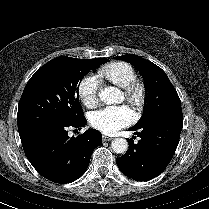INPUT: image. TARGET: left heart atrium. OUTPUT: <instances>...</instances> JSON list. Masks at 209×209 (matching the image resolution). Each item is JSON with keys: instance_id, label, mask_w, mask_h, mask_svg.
<instances>
[{"instance_id": "39dd6f15", "label": "left heart atrium", "mask_w": 209, "mask_h": 209, "mask_svg": "<svg viewBox=\"0 0 209 209\" xmlns=\"http://www.w3.org/2000/svg\"><path fill=\"white\" fill-rule=\"evenodd\" d=\"M134 120L135 114L127 106H106L93 111L89 117L91 126L106 134L115 133Z\"/></svg>"}]
</instances>
